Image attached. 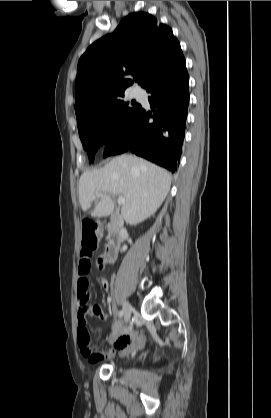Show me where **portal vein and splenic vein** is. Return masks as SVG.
Wrapping results in <instances>:
<instances>
[{
	"instance_id": "1",
	"label": "portal vein and splenic vein",
	"mask_w": 271,
	"mask_h": 418,
	"mask_svg": "<svg viewBox=\"0 0 271 418\" xmlns=\"http://www.w3.org/2000/svg\"><path fill=\"white\" fill-rule=\"evenodd\" d=\"M97 196L99 197V196H101V193H97ZM117 203L119 204V205H123L124 203H125V198L124 197H118V199H117Z\"/></svg>"
}]
</instances>
